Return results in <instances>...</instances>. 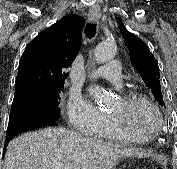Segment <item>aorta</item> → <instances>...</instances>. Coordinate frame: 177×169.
<instances>
[{
    "label": "aorta",
    "mask_w": 177,
    "mask_h": 169,
    "mask_svg": "<svg viewBox=\"0 0 177 169\" xmlns=\"http://www.w3.org/2000/svg\"><path fill=\"white\" fill-rule=\"evenodd\" d=\"M116 54V45L113 41L108 40L101 42L94 50V58L98 64H103L114 58ZM95 101L100 105H106L110 102V97L104 93L101 87L94 86L90 90Z\"/></svg>",
    "instance_id": "1"
}]
</instances>
